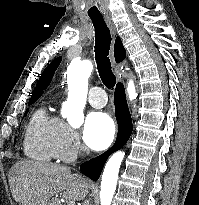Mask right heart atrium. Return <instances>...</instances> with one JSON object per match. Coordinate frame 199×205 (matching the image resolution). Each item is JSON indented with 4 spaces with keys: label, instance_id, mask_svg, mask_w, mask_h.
<instances>
[{
    "label": "right heart atrium",
    "instance_id": "right-heart-atrium-1",
    "mask_svg": "<svg viewBox=\"0 0 199 205\" xmlns=\"http://www.w3.org/2000/svg\"><path fill=\"white\" fill-rule=\"evenodd\" d=\"M58 120V130L56 133L55 154L56 158L62 161L75 159L82 151L77 131L63 120Z\"/></svg>",
    "mask_w": 199,
    "mask_h": 205
}]
</instances>
